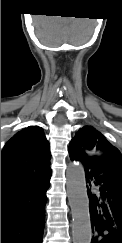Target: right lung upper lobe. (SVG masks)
Returning a JSON list of instances; mask_svg holds the SVG:
<instances>
[{
	"label": "right lung upper lobe",
	"mask_w": 122,
	"mask_h": 243,
	"mask_svg": "<svg viewBox=\"0 0 122 243\" xmlns=\"http://www.w3.org/2000/svg\"><path fill=\"white\" fill-rule=\"evenodd\" d=\"M50 156L41 127L29 126L15 134L1 152V190L51 171Z\"/></svg>",
	"instance_id": "cb5924a9"
}]
</instances>
